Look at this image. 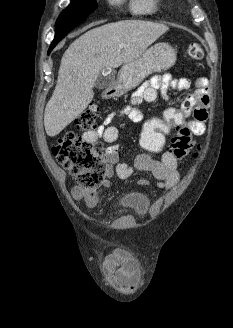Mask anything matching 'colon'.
<instances>
[{
    "label": "colon",
    "instance_id": "5ec220e1",
    "mask_svg": "<svg viewBox=\"0 0 233 328\" xmlns=\"http://www.w3.org/2000/svg\"><path fill=\"white\" fill-rule=\"evenodd\" d=\"M186 53L191 60H199L203 56L198 43L190 44ZM98 117L97 107L91 106L77 117L75 123L80 130L90 131ZM170 132L173 139L168 150L177 160L184 159L192 148V132L180 109H168L160 118L147 122L140 137L141 147L150 153L161 151L165 146V134ZM52 154L58 164L75 176L81 188L94 190L104 182L106 164L101 144L90 143L74 132H67L58 138Z\"/></svg>",
    "mask_w": 233,
    "mask_h": 328
}]
</instances>
